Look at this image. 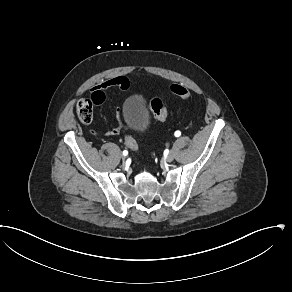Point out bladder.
<instances>
[{
  "label": "bladder",
  "instance_id": "1",
  "mask_svg": "<svg viewBox=\"0 0 292 292\" xmlns=\"http://www.w3.org/2000/svg\"><path fill=\"white\" fill-rule=\"evenodd\" d=\"M141 100L130 98L124 109V117L128 125L137 132H143L148 127V117L141 109Z\"/></svg>",
  "mask_w": 292,
  "mask_h": 292
}]
</instances>
